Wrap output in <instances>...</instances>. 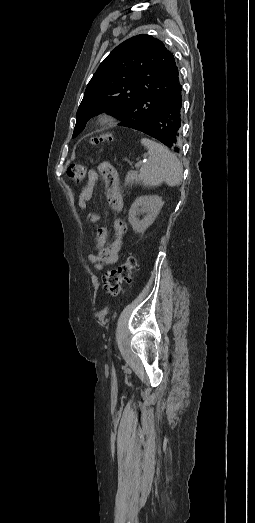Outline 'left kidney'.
<instances>
[{
	"label": "left kidney",
	"mask_w": 255,
	"mask_h": 523,
	"mask_svg": "<svg viewBox=\"0 0 255 523\" xmlns=\"http://www.w3.org/2000/svg\"><path fill=\"white\" fill-rule=\"evenodd\" d=\"M164 202L160 196H139L133 202L129 210V222L136 234H143L151 224H153L156 216H158ZM142 206V210H139ZM139 212H145L147 214L144 220H136Z\"/></svg>",
	"instance_id": "obj_1"
}]
</instances>
